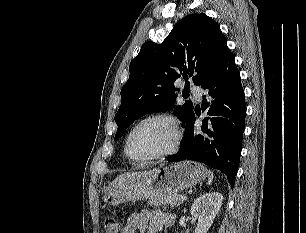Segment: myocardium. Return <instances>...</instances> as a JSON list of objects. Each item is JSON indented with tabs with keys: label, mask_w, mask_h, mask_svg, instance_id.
Returning <instances> with one entry per match:
<instances>
[{
	"label": "myocardium",
	"mask_w": 306,
	"mask_h": 233,
	"mask_svg": "<svg viewBox=\"0 0 306 233\" xmlns=\"http://www.w3.org/2000/svg\"><path fill=\"white\" fill-rule=\"evenodd\" d=\"M154 120H164V121H167L168 123L171 124V126L174 130V133H175V139H174V143H173L172 147L170 149H168L167 151H164L162 153L150 155V156H147V157H144V158L134 157L130 152V140H131L133 134L143 124H145L147 122H150V121H154ZM181 141H182V129L180 127L178 119L175 116H173L171 114H168V113H156V114H152V115H149V116L145 117L144 119L139 121L130 130V132L127 135V138L125 140L124 152H125V155L128 157V159L131 160L132 162L143 163V162H148V161H152V160H156V159H162V158H165V157H168V156H171V155L175 154L180 148Z\"/></svg>",
	"instance_id": "1"
}]
</instances>
